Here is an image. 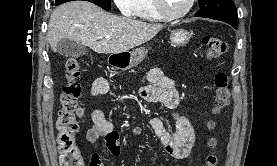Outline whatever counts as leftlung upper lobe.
<instances>
[{"label": "left lung upper lobe", "mask_w": 277, "mask_h": 166, "mask_svg": "<svg viewBox=\"0 0 277 166\" xmlns=\"http://www.w3.org/2000/svg\"><path fill=\"white\" fill-rule=\"evenodd\" d=\"M198 1L200 10L195 14V16L221 20L231 25H237L238 16L233 0Z\"/></svg>", "instance_id": "left-lung-upper-lobe-1"}]
</instances>
